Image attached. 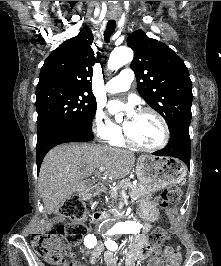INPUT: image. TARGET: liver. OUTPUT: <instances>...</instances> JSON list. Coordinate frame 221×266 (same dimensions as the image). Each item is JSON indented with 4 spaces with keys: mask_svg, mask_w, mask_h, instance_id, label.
I'll return each instance as SVG.
<instances>
[{
    "mask_svg": "<svg viewBox=\"0 0 221 266\" xmlns=\"http://www.w3.org/2000/svg\"><path fill=\"white\" fill-rule=\"evenodd\" d=\"M134 165L132 152L93 143H69L51 149L39 173V189L46 212L51 214L75 192L84 191L87 188L85 179L96 168L103 166L105 176L122 179Z\"/></svg>",
    "mask_w": 221,
    "mask_h": 266,
    "instance_id": "1",
    "label": "liver"
}]
</instances>
